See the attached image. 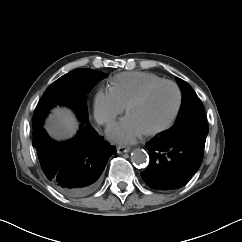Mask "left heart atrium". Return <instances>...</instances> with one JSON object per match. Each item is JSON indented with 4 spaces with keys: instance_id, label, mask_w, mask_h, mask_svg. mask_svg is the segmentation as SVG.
<instances>
[{
    "instance_id": "left-heart-atrium-1",
    "label": "left heart atrium",
    "mask_w": 242,
    "mask_h": 242,
    "mask_svg": "<svg viewBox=\"0 0 242 242\" xmlns=\"http://www.w3.org/2000/svg\"><path fill=\"white\" fill-rule=\"evenodd\" d=\"M143 133V130L129 115L107 129L109 139L118 143L134 142Z\"/></svg>"
}]
</instances>
